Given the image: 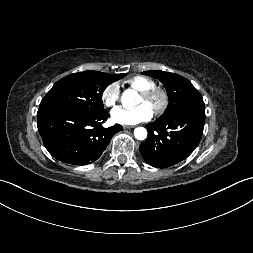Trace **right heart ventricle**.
<instances>
[{"label":"right heart ventricle","mask_w":253,"mask_h":253,"mask_svg":"<svg viewBox=\"0 0 253 253\" xmlns=\"http://www.w3.org/2000/svg\"><path fill=\"white\" fill-rule=\"evenodd\" d=\"M127 84L140 92L155 86V82L151 78L141 75L131 77L127 80Z\"/></svg>","instance_id":"1"}]
</instances>
